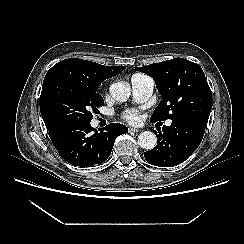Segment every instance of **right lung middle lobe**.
Instances as JSON below:
<instances>
[{
	"mask_svg": "<svg viewBox=\"0 0 244 244\" xmlns=\"http://www.w3.org/2000/svg\"><path fill=\"white\" fill-rule=\"evenodd\" d=\"M40 112L48 130L71 123H90L104 100L59 75L44 78Z\"/></svg>",
	"mask_w": 244,
	"mask_h": 244,
	"instance_id": "obj_1",
	"label": "right lung middle lobe"
}]
</instances>
